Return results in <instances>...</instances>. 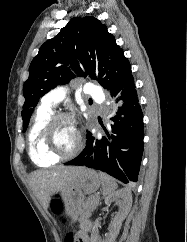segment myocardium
<instances>
[{"label": "myocardium", "instance_id": "1", "mask_svg": "<svg viewBox=\"0 0 187 242\" xmlns=\"http://www.w3.org/2000/svg\"><path fill=\"white\" fill-rule=\"evenodd\" d=\"M60 121H68L72 123L75 126L76 132H77V143L75 147L71 151L66 153L59 152L56 149H54L52 146V134L55 126ZM41 142H42L43 149L47 155L55 157L57 159H69L76 156L82 149L83 137L79 127L77 126V123L74 117L66 112H58V113H54L47 121L42 132Z\"/></svg>", "mask_w": 187, "mask_h": 242}]
</instances>
